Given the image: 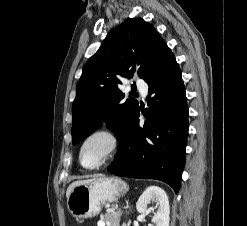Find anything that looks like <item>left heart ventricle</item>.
Segmentation results:
<instances>
[{
  "mask_svg": "<svg viewBox=\"0 0 247 226\" xmlns=\"http://www.w3.org/2000/svg\"><path fill=\"white\" fill-rule=\"evenodd\" d=\"M109 142L104 137H95L85 146L83 151V162L87 166L97 164L107 153Z\"/></svg>",
  "mask_w": 247,
  "mask_h": 226,
  "instance_id": "left-heart-ventricle-1",
  "label": "left heart ventricle"
}]
</instances>
